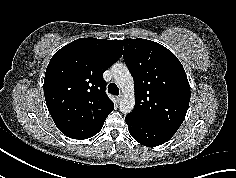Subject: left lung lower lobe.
I'll use <instances>...</instances> for the list:
<instances>
[{
  "mask_svg": "<svg viewBox=\"0 0 236 178\" xmlns=\"http://www.w3.org/2000/svg\"><path fill=\"white\" fill-rule=\"evenodd\" d=\"M125 121L130 135L144 146L153 147L161 145L176 133L174 130L156 127L128 116L125 118Z\"/></svg>",
  "mask_w": 236,
  "mask_h": 178,
  "instance_id": "obj_1",
  "label": "left lung lower lobe"
}]
</instances>
